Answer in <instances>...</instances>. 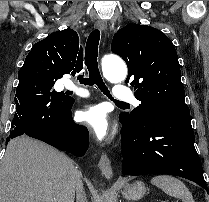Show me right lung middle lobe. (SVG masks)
<instances>
[{
    "instance_id": "1",
    "label": "right lung middle lobe",
    "mask_w": 209,
    "mask_h": 202,
    "mask_svg": "<svg viewBox=\"0 0 209 202\" xmlns=\"http://www.w3.org/2000/svg\"><path fill=\"white\" fill-rule=\"evenodd\" d=\"M20 81L25 80L26 78H22L18 76ZM37 83H40L44 88H46L48 91L51 92L56 97H64V94L62 92H56L52 87L54 85V81L52 78L44 75H35L32 77Z\"/></svg>"
}]
</instances>
